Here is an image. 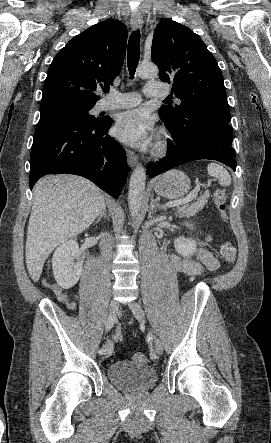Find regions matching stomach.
Listing matches in <instances>:
<instances>
[{
  "mask_svg": "<svg viewBox=\"0 0 271 443\" xmlns=\"http://www.w3.org/2000/svg\"><path fill=\"white\" fill-rule=\"evenodd\" d=\"M153 188L157 196H164L168 200H177L189 192L191 182L184 172L170 170L160 178H156Z\"/></svg>",
  "mask_w": 271,
  "mask_h": 443,
  "instance_id": "1",
  "label": "stomach"
}]
</instances>
